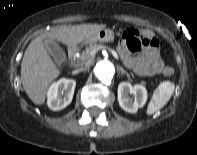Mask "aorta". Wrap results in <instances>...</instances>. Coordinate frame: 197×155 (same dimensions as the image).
I'll return each instance as SVG.
<instances>
[{"label":"aorta","instance_id":"obj_1","mask_svg":"<svg viewBox=\"0 0 197 155\" xmlns=\"http://www.w3.org/2000/svg\"><path fill=\"white\" fill-rule=\"evenodd\" d=\"M116 72L114 64L109 60L98 61L94 67V73L97 79L107 83L112 80Z\"/></svg>","mask_w":197,"mask_h":155}]
</instances>
